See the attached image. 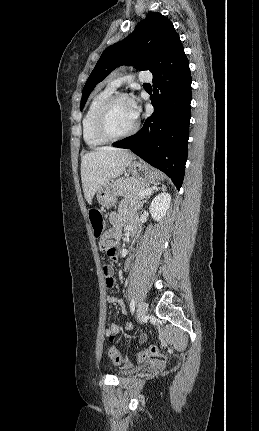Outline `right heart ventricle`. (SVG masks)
<instances>
[{
  "label": "right heart ventricle",
  "mask_w": 259,
  "mask_h": 431,
  "mask_svg": "<svg viewBox=\"0 0 259 431\" xmlns=\"http://www.w3.org/2000/svg\"><path fill=\"white\" fill-rule=\"evenodd\" d=\"M112 93H113V89L106 88V89L98 92L97 94H95L92 97V99H91V101H90V103H89V105L85 111V114L83 116V119H82L83 139H84L85 143L91 148H97V147L103 146L109 142L107 140L100 138L96 134L95 128H94V117H95V113H96L98 107Z\"/></svg>",
  "instance_id": "right-heart-ventricle-1"
}]
</instances>
